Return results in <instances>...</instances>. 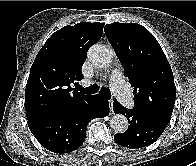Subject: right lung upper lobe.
<instances>
[{
  "label": "right lung upper lobe",
  "mask_w": 196,
  "mask_h": 166,
  "mask_svg": "<svg viewBox=\"0 0 196 166\" xmlns=\"http://www.w3.org/2000/svg\"><path fill=\"white\" fill-rule=\"evenodd\" d=\"M104 23L81 22L54 32L37 54L25 90L28 121L59 113L89 95L73 91L83 76L88 49L103 33Z\"/></svg>",
  "instance_id": "cb5924a9"
}]
</instances>
